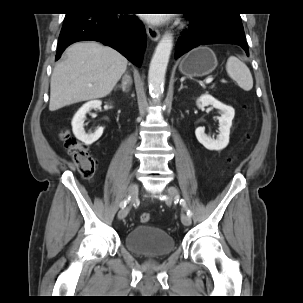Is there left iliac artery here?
<instances>
[{
  "label": "left iliac artery",
  "mask_w": 303,
  "mask_h": 303,
  "mask_svg": "<svg viewBox=\"0 0 303 303\" xmlns=\"http://www.w3.org/2000/svg\"><path fill=\"white\" fill-rule=\"evenodd\" d=\"M180 204H181L184 208H186L187 215H188L189 217H191V216H192V212L187 208V206H186V201H185L184 199H180Z\"/></svg>",
  "instance_id": "44dca946"
}]
</instances>
